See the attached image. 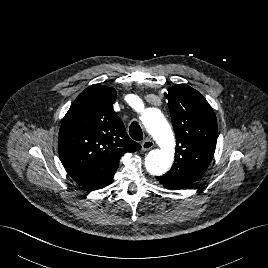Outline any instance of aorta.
<instances>
[{
	"instance_id": "1",
	"label": "aorta",
	"mask_w": 268,
	"mask_h": 268,
	"mask_svg": "<svg viewBox=\"0 0 268 268\" xmlns=\"http://www.w3.org/2000/svg\"><path fill=\"white\" fill-rule=\"evenodd\" d=\"M140 120L160 146V149L146 155L145 168L151 175H162L174 161L175 138L172 129L161 111L155 108L145 109Z\"/></svg>"
}]
</instances>
